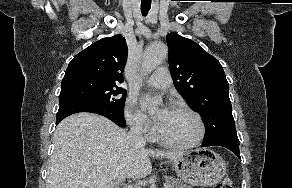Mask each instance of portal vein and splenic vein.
Wrapping results in <instances>:
<instances>
[{
	"mask_svg": "<svg viewBox=\"0 0 292 188\" xmlns=\"http://www.w3.org/2000/svg\"><path fill=\"white\" fill-rule=\"evenodd\" d=\"M165 188H169V185H165Z\"/></svg>",
	"mask_w": 292,
	"mask_h": 188,
	"instance_id": "obj_1",
	"label": "portal vein and splenic vein"
}]
</instances>
